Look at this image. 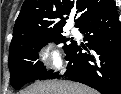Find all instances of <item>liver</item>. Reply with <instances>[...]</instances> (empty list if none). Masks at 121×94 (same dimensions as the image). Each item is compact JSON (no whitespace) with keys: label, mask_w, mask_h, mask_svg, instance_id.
<instances>
[{"label":"liver","mask_w":121,"mask_h":94,"mask_svg":"<svg viewBox=\"0 0 121 94\" xmlns=\"http://www.w3.org/2000/svg\"><path fill=\"white\" fill-rule=\"evenodd\" d=\"M19 94H98V92L75 82L47 80L36 82Z\"/></svg>","instance_id":"liver-1"}]
</instances>
